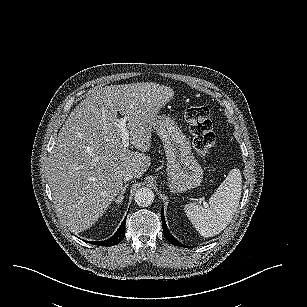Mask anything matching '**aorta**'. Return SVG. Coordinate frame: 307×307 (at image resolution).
<instances>
[{
	"label": "aorta",
	"mask_w": 307,
	"mask_h": 307,
	"mask_svg": "<svg viewBox=\"0 0 307 307\" xmlns=\"http://www.w3.org/2000/svg\"><path fill=\"white\" fill-rule=\"evenodd\" d=\"M154 193L151 188L142 187L135 193V202L141 207H148L154 202Z\"/></svg>",
	"instance_id": "1"
}]
</instances>
